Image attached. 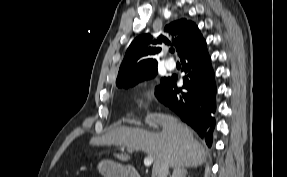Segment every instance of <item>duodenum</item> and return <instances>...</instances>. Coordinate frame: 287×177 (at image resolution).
<instances>
[{
  "label": "duodenum",
  "instance_id": "obj_1",
  "mask_svg": "<svg viewBox=\"0 0 287 177\" xmlns=\"http://www.w3.org/2000/svg\"><path fill=\"white\" fill-rule=\"evenodd\" d=\"M117 174L121 175V177H140L130 166H124L121 171L117 172Z\"/></svg>",
  "mask_w": 287,
  "mask_h": 177
}]
</instances>
